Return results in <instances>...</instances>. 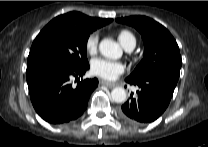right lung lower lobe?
Returning <instances> with one entry per match:
<instances>
[{"label": "right lung lower lobe", "mask_w": 208, "mask_h": 147, "mask_svg": "<svg viewBox=\"0 0 208 147\" xmlns=\"http://www.w3.org/2000/svg\"><path fill=\"white\" fill-rule=\"evenodd\" d=\"M89 65L73 68L61 64L38 65L27 69L26 79L30 98L38 115L51 124L68 123L87 108L92 91L98 86V80H81L72 86V77H81Z\"/></svg>", "instance_id": "right-lung-lower-lobe-1"}]
</instances>
